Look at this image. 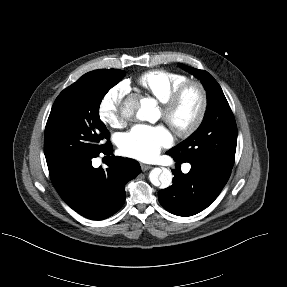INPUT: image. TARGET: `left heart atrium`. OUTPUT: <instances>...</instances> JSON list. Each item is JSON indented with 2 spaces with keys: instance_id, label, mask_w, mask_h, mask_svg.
<instances>
[{
  "instance_id": "1",
  "label": "left heart atrium",
  "mask_w": 287,
  "mask_h": 287,
  "mask_svg": "<svg viewBox=\"0 0 287 287\" xmlns=\"http://www.w3.org/2000/svg\"><path fill=\"white\" fill-rule=\"evenodd\" d=\"M169 131L161 125H136L120 138V150L128 157L141 161L154 159L163 147L171 144Z\"/></svg>"
}]
</instances>
